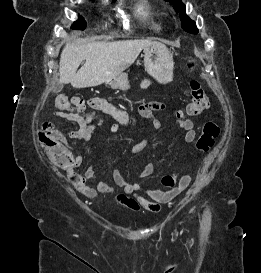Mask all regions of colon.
Masks as SVG:
<instances>
[{
  "mask_svg": "<svg viewBox=\"0 0 261 273\" xmlns=\"http://www.w3.org/2000/svg\"><path fill=\"white\" fill-rule=\"evenodd\" d=\"M188 70L194 67V61L189 60L186 64ZM191 100L187 106L188 115L195 116L202 113L209 107V99L201 84L192 80L190 82ZM56 106L69 111L74 116L87 117L83 114L84 100L80 97L73 96L71 98L65 95H59L56 98ZM220 128L214 121H207L202 127V132L196 141L195 147L198 151L206 152L211 149L219 136ZM39 141L45 149L48 157L55 164L62 167H70L74 163V156L63 143L62 136L54 131L43 128L39 132ZM162 185L169 191L177 192L188 186V181H178L176 174H168L162 178Z\"/></svg>",
  "mask_w": 261,
  "mask_h": 273,
  "instance_id": "5ec220e1",
  "label": "colon"
}]
</instances>
